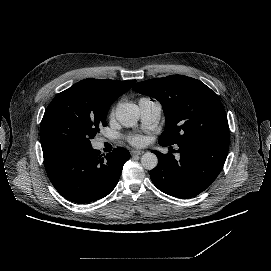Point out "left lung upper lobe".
<instances>
[{"label": "left lung upper lobe", "mask_w": 271, "mask_h": 271, "mask_svg": "<svg viewBox=\"0 0 271 271\" xmlns=\"http://www.w3.org/2000/svg\"><path fill=\"white\" fill-rule=\"evenodd\" d=\"M134 91L157 99L165 113L167 145L195 143L202 136L229 139L227 115L217 95L201 81L183 75L138 82Z\"/></svg>", "instance_id": "1"}]
</instances>
